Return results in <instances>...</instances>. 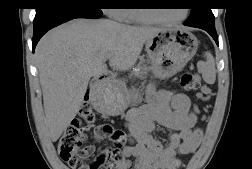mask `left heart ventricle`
Wrapping results in <instances>:
<instances>
[{"mask_svg": "<svg viewBox=\"0 0 252 169\" xmlns=\"http://www.w3.org/2000/svg\"><path fill=\"white\" fill-rule=\"evenodd\" d=\"M151 15L162 18V19H177L179 18L183 11L181 9H171V10H163V11H149Z\"/></svg>", "mask_w": 252, "mask_h": 169, "instance_id": "1", "label": "left heart ventricle"}]
</instances>
